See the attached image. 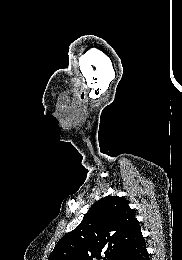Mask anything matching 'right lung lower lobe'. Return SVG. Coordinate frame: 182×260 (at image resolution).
<instances>
[{
  "label": "right lung lower lobe",
  "mask_w": 182,
  "mask_h": 260,
  "mask_svg": "<svg viewBox=\"0 0 182 260\" xmlns=\"http://www.w3.org/2000/svg\"><path fill=\"white\" fill-rule=\"evenodd\" d=\"M119 260H149V254L146 250L145 241L128 251Z\"/></svg>",
  "instance_id": "1"
}]
</instances>
